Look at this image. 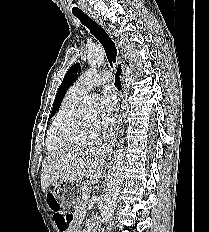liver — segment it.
Masks as SVG:
<instances>
[{
  "mask_svg": "<svg viewBox=\"0 0 209 232\" xmlns=\"http://www.w3.org/2000/svg\"><path fill=\"white\" fill-rule=\"evenodd\" d=\"M111 148L101 140L79 143L51 153L42 164L41 186L47 188L61 179L70 183L87 178L89 183L98 182L102 175L104 159Z\"/></svg>",
  "mask_w": 209,
  "mask_h": 232,
  "instance_id": "1",
  "label": "liver"
}]
</instances>
